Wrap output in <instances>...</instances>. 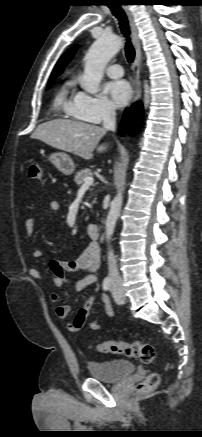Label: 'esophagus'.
I'll return each mask as SVG.
<instances>
[{
  "label": "esophagus",
  "instance_id": "obj_1",
  "mask_svg": "<svg viewBox=\"0 0 202 437\" xmlns=\"http://www.w3.org/2000/svg\"><path fill=\"white\" fill-rule=\"evenodd\" d=\"M124 11L129 21V25L132 33L133 45L135 48V59L133 63V87H134V101H138L141 98V94H142L141 84H140L141 43L138 35V29L134 22L132 13L130 12L128 7H124Z\"/></svg>",
  "mask_w": 202,
  "mask_h": 437
}]
</instances>
